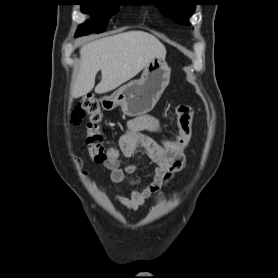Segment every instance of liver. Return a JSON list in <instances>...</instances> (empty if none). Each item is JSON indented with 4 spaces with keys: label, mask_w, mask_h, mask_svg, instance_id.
Masks as SVG:
<instances>
[{
    "label": "liver",
    "mask_w": 278,
    "mask_h": 278,
    "mask_svg": "<svg viewBox=\"0 0 278 278\" xmlns=\"http://www.w3.org/2000/svg\"><path fill=\"white\" fill-rule=\"evenodd\" d=\"M80 54L79 71L71 87L72 98L93 90L98 71L102 78L95 92L103 94L116 89L154 58H164L166 48L147 32L128 31L92 41L80 49Z\"/></svg>",
    "instance_id": "obj_1"
}]
</instances>
